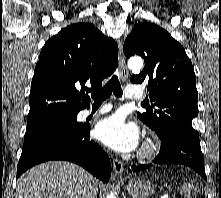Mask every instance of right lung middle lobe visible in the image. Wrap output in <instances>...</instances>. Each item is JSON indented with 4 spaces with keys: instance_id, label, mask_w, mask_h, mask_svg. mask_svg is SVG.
Instances as JSON below:
<instances>
[{
    "instance_id": "right-lung-middle-lobe-1",
    "label": "right lung middle lobe",
    "mask_w": 221,
    "mask_h": 198,
    "mask_svg": "<svg viewBox=\"0 0 221 198\" xmlns=\"http://www.w3.org/2000/svg\"><path fill=\"white\" fill-rule=\"evenodd\" d=\"M77 113L51 115L27 123L24 142L39 135L53 131H73L81 128L83 124L76 122Z\"/></svg>"
}]
</instances>
